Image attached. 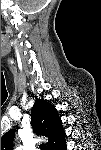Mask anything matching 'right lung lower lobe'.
<instances>
[{"mask_svg": "<svg viewBox=\"0 0 101 150\" xmlns=\"http://www.w3.org/2000/svg\"><path fill=\"white\" fill-rule=\"evenodd\" d=\"M66 149V146H65V142L62 144V146H60L59 148H58V150H65Z\"/></svg>", "mask_w": 101, "mask_h": 150, "instance_id": "98d812e1", "label": "right lung lower lobe"}]
</instances>
